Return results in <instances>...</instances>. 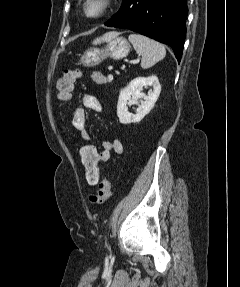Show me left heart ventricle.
Segmentation results:
<instances>
[{
    "instance_id": "1",
    "label": "left heart ventricle",
    "mask_w": 240,
    "mask_h": 287,
    "mask_svg": "<svg viewBox=\"0 0 240 287\" xmlns=\"http://www.w3.org/2000/svg\"><path fill=\"white\" fill-rule=\"evenodd\" d=\"M99 8H100V4H99L98 0H92V2H90L88 5V12L90 14H94V13L98 12Z\"/></svg>"
}]
</instances>
